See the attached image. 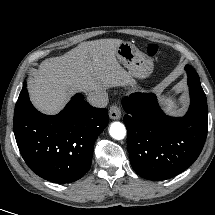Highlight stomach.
<instances>
[{
  "label": "stomach",
  "instance_id": "1",
  "mask_svg": "<svg viewBox=\"0 0 215 215\" xmlns=\"http://www.w3.org/2000/svg\"><path fill=\"white\" fill-rule=\"evenodd\" d=\"M116 56L134 78L145 79L153 71L151 58L129 42H123L119 45Z\"/></svg>",
  "mask_w": 215,
  "mask_h": 215
}]
</instances>
